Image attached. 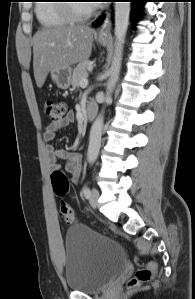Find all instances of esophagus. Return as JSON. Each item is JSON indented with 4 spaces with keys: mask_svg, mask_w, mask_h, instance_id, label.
Listing matches in <instances>:
<instances>
[{
    "mask_svg": "<svg viewBox=\"0 0 195 299\" xmlns=\"http://www.w3.org/2000/svg\"><path fill=\"white\" fill-rule=\"evenodd\" d=\"M111 30V8L106 12L105 19L98 30L99 38H107L110 36Z\"/></svg>",
    "mask_w": 195,
    "mask_h": 299,
    "instance_id": "34e87169",
    "label": "esophagus"
}]
</instances>
